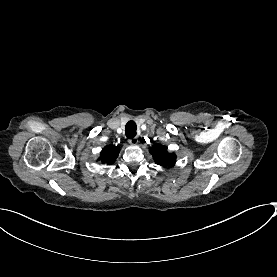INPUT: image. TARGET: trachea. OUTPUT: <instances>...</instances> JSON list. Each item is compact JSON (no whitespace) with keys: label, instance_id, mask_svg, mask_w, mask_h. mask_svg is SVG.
<instances>
[{"label":"trachea","instance_id":"trachea-1","mask_svg":"<svg viewBox=\"0 0 277 277\" xmlns=\"http://www.w3.org/2000/svg\"><path fill=\"white\" fill-rule=\"evenodd\" d=\"M137 126L134 121H129L125 126V135L127 138L132 139L136 136Z\"/></svg>","mask_w":277,"mask_h":277}]
</instances>
